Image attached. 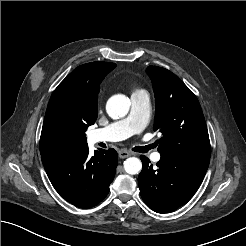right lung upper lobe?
<instances>
[{
    "instance_id": "cb5924a9",
    "label": "right lung upper lobe",
    "mask_w": 246,
    "mask_h": 246,
    "mask_svg": "<svg viewBox=\"0 0 246 246\" xmlns=\"http://www.w3.org/2000/svg\"><path fill=\"white\" fill-rule=\"evenodd\" d=\"M116 67L110 62H91L73 70L54 90L49 100L40 138V152L66 144H87L79 125L88 127L97 119L99 85Z\"/></svg>"
}]
</instances>
